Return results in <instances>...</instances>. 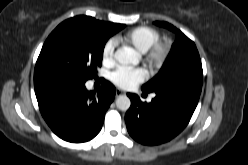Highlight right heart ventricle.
<instances>
[{
    "instance_id": "1",
    "label": "right heart ventricle",
    "mask_w": 248,
    "mask_h": 165,
    "mask_svg": "<svg viewBox=\"0 0 248 165\" xmlns=\"http://www.w3.org/2000/svg\"><path fill=\"white\" fill-rule=\"evenodd\" d=\"M159 38L160 34L154 28L140 26L118 36L117 41L133 47L140 53H145Z\"/></svg>"
}]
</instances>
